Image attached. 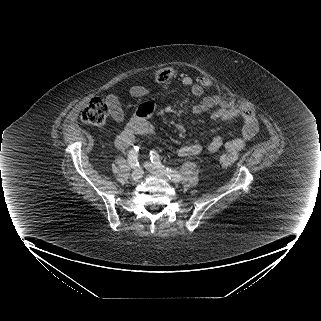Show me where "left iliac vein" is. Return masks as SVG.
Wrapping results in <instances>:
<instances>
[{
	"instance_id": "left-iliac-vein-1",
	"label": "left iliac vein",
	"mask_w": 321,
	"mask_h": 321,
	"mask_svg": "<svg viewBox=\"0 0 321 321\" xmlns=\"http://www.w3.org/2000/svg\"><path fill=\"white\" fill-rule=\"evenodd\" d=\"M144 167L152 174L164 179L165 181H169L168 177L166 176V174L160 170H158L156 168L155 165H153L152 163L149 162H145L144 163Z\"/></svg>"
}]
</instances>
